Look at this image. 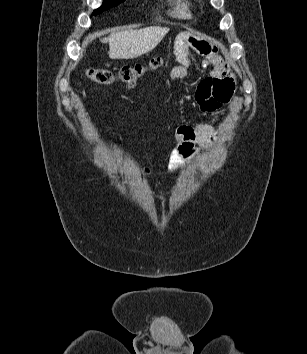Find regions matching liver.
Instances as JSON below:
<instances>
[{"label": "liver", "instance_id": "6515ba94", "mask_svg": "<svg viewBox=\"0 0 307 354\" xmlns=\"http://www.w3.org/2000/svg\"><path fill=\"white\" fill-rule=\"evenodd\" d=\"M169 32V28L148 27L112 33L108 38L111 59H134L152 51Z\"/></svg>", "mask_w": 307, "mask_h": 354}]
</instances>
